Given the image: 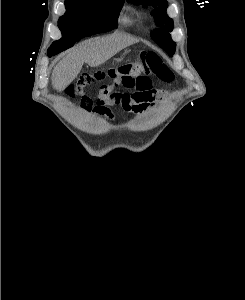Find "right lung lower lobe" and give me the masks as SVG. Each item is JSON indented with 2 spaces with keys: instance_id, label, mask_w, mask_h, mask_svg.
I'll list each match as a JSON object with an SVG mask.
<instances>
[{
  "instance_id": "1",
  "label": "right lung lower lobe",
  "mask_w": 245,
  "mask_h": 300,
  "mask_svg": "<svg viewBox=\"0 0 245 300\" xmlns=\"http://www.w3.org/2000/svg\"><path fill=\"white\" fill-rule=\"evenodd\" d=\"M78 25L84 31V37L97 33H103L105 30L102 28V24L99 21L93 19L80 21ZM48 56L51 57L52 54L48 53Z\"/></svg>"
}]
</instances>
